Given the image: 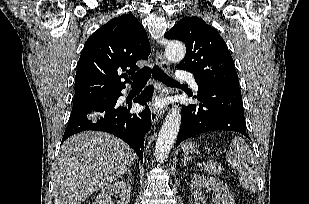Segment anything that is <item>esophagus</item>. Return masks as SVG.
Masks as SVG:
<instances>
[{
    "instance_id": "1",
    "label": "esophagus",
    "mask_w": 309,
    "mask_h": 204,
    "mask_svg": "<svg viewBox=\"0 0 309 204\" xmlns=\"http://www.w3.org/2000/svg\"><path fill=\"white\" fill-rule=\"evenodd\" d=\"M156 62L161 69H163L166 72H170L169 62L164 58V56L159 51L156 52ZM156 89H157V95L159 96L167 97L170 94V89L164 86L159 81H157ZM161 116H162V111L158 110L155 107L152 108L151 121L153 124H155Z\"/></svg>"
}]
</instances>
